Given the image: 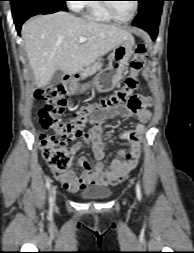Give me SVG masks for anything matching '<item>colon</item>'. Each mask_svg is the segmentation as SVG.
I'll return each mask as SVG.
<instances>
[{
	"mask_svg": "<svg viewBox=\"0 0 194 253\" xmlns=\"http://www.w3.org/2000/svg\"><path fill=\"white\" fill-rule=\"evenodd\" d=\"M147 55V44H137L124 86L103 99L97 107H80L70 122L63 119L67 100L62 86H50L36 92V98L44 103V108L40 110V126L43 131L40 138L41 152L51 168L60 172L67 171L71 165V155L66 144L81 139L85 125L99 112L127 104V97H131V93L139 88L137 75L142 70Z\"/></svg>",
	"mask_w": 194,
	"mask_h": 253,
	"instance_id": "colon-1",
	"label": "colon"
}]
</instances>
